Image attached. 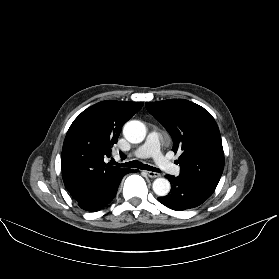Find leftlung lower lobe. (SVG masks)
Returning a JSON list of instances; mask_svg holds the SVG:
<instances>
[{
  "label": "left lung lower lobe",
  "mask_w": 279,
  "mask_h": 279,
  "mask_svg": "<svg viewBox=\"0 0 279 279\" xmlns=\"http://www.w3.org/2000/svg\"><path fill=\"white\" fill-rule=\"evenodd\" d=\"M172 184L170 194L159 197L158 200L170 209L181 211L199 206L206 201L213 192L202 186L183 179L166 175Z\"/></svg>",
  "instance_id": "1"
}]
</instances>
